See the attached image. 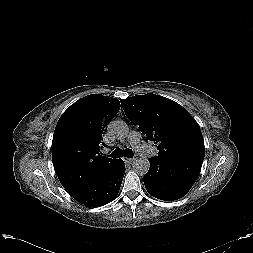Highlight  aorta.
Here are the masks:
<instances>
[{
    "mask_svg": "<svg viewBox=\"0 0 253 253\" xmlns=\"http://www.w3.org/2000/svg\"><path fill=\"white\" fill-rule=\"evenodd\" d=\"M108 132L113 136L123 137L128 133V127L122 121H112L108 126ZM133 167L138 174L145 175L150 168V163L147 158L143 157L136 159Z\"/></svg>",
    "mask_w": 253,
    "mask_h": 253,
    "instance_id": "obj_1",
    "label": "aorta"
}]
</instances>
